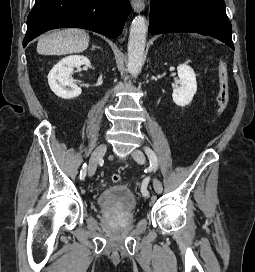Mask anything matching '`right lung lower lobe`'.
Segmentation results:
<instances>
[{
    "label": "right lung lower lobe",
    "mask_w": 255,
    "mask_h": 272,
    "mask_svg": "<svg viewBox=\"0 0 255 272\" xmlns=\"http://www.w3.org/2000/svg\"><path fill=\"white\" fill-rule=\"evenodd\" d=\"M130 12L129 0H36L27 18L23 47L42 33L63 27L120 35Z\"/></svg>",
    "instance_id": "obj_1"
}]
</instances>
